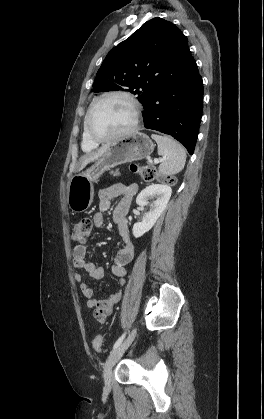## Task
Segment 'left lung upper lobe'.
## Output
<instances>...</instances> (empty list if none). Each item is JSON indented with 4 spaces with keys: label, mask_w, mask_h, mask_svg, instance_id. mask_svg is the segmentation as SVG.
I'll use <instances>...</instances> for the list:
<instances>
[{
    "label": "left lung upper lobe",
    "mask_w": 264,
    "mask_h": 419,
    "mask_svg": "<svg viewBox=\"0 0 264 419\" xmlns=\"http://www.w3.org/2000/svg\"><path fill=\"white\" fill-rule=\"evenodd\" d=\"M183 33L171 22L156 17L145 22L104 59L93 91L121 90L136 94L144 105L153 85L171 74L175 45Z\"/></svg>",
    "instance_id": "1"
}]
</instances>
